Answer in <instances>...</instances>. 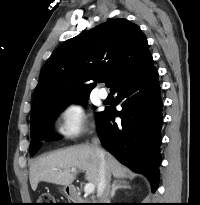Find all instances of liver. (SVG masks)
Listing matches in <instances>:
<instances>
[{"label":"liver","instance_id":"obj_1","mask_svg":"<svg viewBox=\"0 0 200 205\" xmlns=\"http://www.w3.org/2000/svg\"><path fill=\"white\" fill-rule=\"evenodd\" d=\"M104 152L106 169L116 179L125 178L127 169L108 152ZM72 169L85 171V179L98 187L100 158L95 148L88 145L73 146L39 157L30 166L31 188L36 190L41 181L69 186L76 178Z\"/></svg>","mask_w":200,"mask_h":205}]
</instances>
